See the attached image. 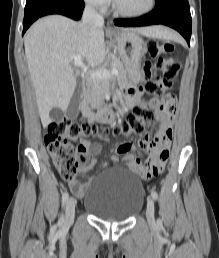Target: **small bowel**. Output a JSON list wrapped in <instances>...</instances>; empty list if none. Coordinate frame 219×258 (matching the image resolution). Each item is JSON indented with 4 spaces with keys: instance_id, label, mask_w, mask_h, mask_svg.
Returning <instances> with one entry per match:
<instances>
[{
    "instance_id": "1",
    "label": "small bowel",
    "mask_w": 219,
    "mask_h": 258,
    "mask_svg": "<svg viewBox=\"0 0 219 258\" xmlns=\"http://www.w3.org/2000/svg\"><path fill=\"white\" fill-rule=\"evenodd\" d=\"M144 73L146 77L152 75V65L146 63L144 65ZM124 101L127 106H132L137 102V95L132 90L124 92ZM155 110L156 119L160 123V130L154 139H141L140 147L144 150L151 151V159L143 166L141 160L133 153L132 150L136 146L132 142H124L115 148L110 160L114 163L120 161L119 155L122 154L123 161L127 167L145 178V183H154V178L164 175V167L169 157V148L172 138V126L174 121V112L176 107V97L173 94L166 95L162 100L154 99L150 103ZM83 151L80 159V174L77 178L69 181L70 190L77 197H83L87 191L91 179L85 176V172L93 168L96 164V155L100 151V145L94 142H84L82 144ZM152 147H158L154 150ZM93 154L92 160H88L87 153ZM164 151L165 153H162Z\"/></svg>"
}]
</instances>
